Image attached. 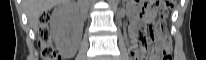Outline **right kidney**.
I'll list each match as a JSON object with an SVG mask.
<instances>
[{"instance_id":"1","label":"right kidney","mask_w":206,"mask_h":60,"mask_svg":"<svg viewBox=\"0 0 206 60\" xmlns=\"http://www.w3.org/2000/svg\"><path fill=\"white\" fill-rule=\"evenodd\" d=\"M53 37L60 49L75 46L81 32V24L76 16V9L71 4H63L52 14ZM73 36L69 37V33Z\"/></svg>"}]
</instances>
